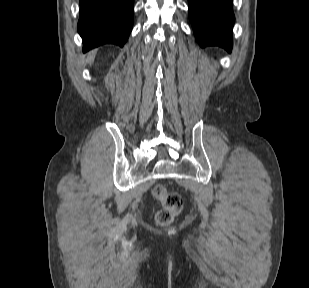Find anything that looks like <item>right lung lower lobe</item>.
<instances>
[{
	"label": "right lung lower lobe",
	"instance_id": "98d812e1",
	"mask_svg": "<svg viewBox=\"0 0 309 288\" xmlns=\"http://www.w3.org/2000/svg\"><path fill=\"white\" fill-rule=\"evenodd\" d=\"M78 32L83 51L112 43H126L133 26V0H79Z\"/></svg>",
	"mask_w": 309,
	"mask_h": 288
}]
</instances>
